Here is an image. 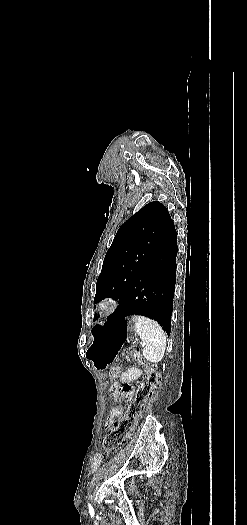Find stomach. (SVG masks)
<instances>
[{"label":"stomach","instance_id":"1","mask_svg":"<svg viewBox=\"0 0 247 525\" xmlns=\"http://www.w3.org/2000/svg\"><path fill=\"white\" fill-rule=\"evenodd\" d=\"M136 334L135 322L131 318H110L93 328L86 357L95 369L104 371L115 360L124 343L133 340Z\"/></svg>","mask_w":247,"mask_h":525}]
</instances>
